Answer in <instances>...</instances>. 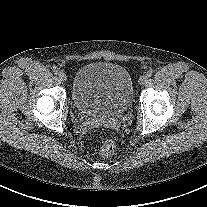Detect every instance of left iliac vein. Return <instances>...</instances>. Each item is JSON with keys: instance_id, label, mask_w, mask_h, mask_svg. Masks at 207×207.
<instances>
[{"instance_id": "left-iliac-vein-1", "label": "left iliac vein", "mask_w": 207, "mask_h": 207, "mask_svg": "<svg viewBox=\"0 0 207 207\" xmlns=\"http://www.w3.org/2000/svg\"><path fill=\"white\" fill-rule=\"evenodd\" d=\"M146 81H147V76H146V75H142V76L139 78V84H140V85L145 84Z\"/></svg>"}]
</instances>
